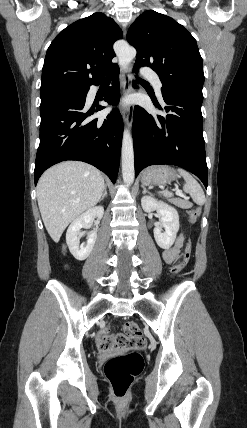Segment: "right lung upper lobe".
<instances>
[{
    "mask_svg": "<svg viewBox=\"0 0 247 428\" xmlns=\"http://www.w3.org/2000/svg\"><path fill=\"white\" fill-rule=\"evenodd\" d=\"M122 30L113 19L94 13L64 30L50 44L42 69L41 93L89 88L118 65L113 44Z\"/></svg>",
    "mask_w": 247,
    "mask_h": 428,
    "instance_id": "cb5924a9",
    "label": "right lung upper lobe"
}]
</instances>
